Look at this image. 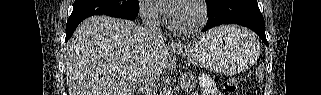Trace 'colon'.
<instances>
[{
  "label": "colon",
  "mask_w": 321,
  "mask_h": 95,
  "mask_svg": "<svg viewBox=\"0 0 321 95\" xmlns=\"http://www.w3.org/2000/svg\"><path fill=\"white\" fill-rule=\"evenodd\" d=\"M237 88V80L235 78H228L222 84V92L225 94L233 93Z\"/></svg>",
  "instance_id": "obj_1"
}]
</instances>
